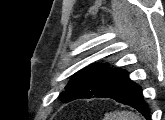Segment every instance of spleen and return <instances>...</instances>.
Masks as SVG:
<instances>
[{"label": "spleen", "mask_w": 165, "mask_h": 120, "mask_svg": "<svg viewBox=\"0 0 165 120\" xmlns=\"http://www.w3.org/2000/svg\"><path fill=\"white\" fill-rule=\"evenodd\" d=\"M104 120H141V118L131 111H114L106 113Z\"/></svg>", "instance_id": "spleen-1"}]
</instances>
